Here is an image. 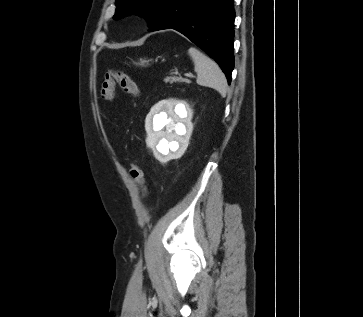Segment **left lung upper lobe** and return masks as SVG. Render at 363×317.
<instances>
[{"mask_svg": "<svg viewBox=\"0 0 363 317\" xmlns=\"http://www.w3.org/2000/svg\"><path fill=\"white\" fill-rule=\"evenodd\" d=\"M165 0H116V13L114 19H119L132 12L144 15L149 26L155 20Z\"/></svg>", "mask_w": 363, "mask_h": 317, "instance_id": "5c2ea615", "label": "left lung upper lobe"}]
</instances>
